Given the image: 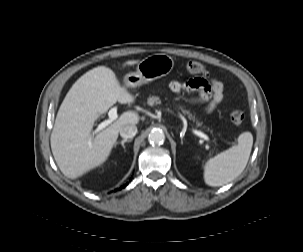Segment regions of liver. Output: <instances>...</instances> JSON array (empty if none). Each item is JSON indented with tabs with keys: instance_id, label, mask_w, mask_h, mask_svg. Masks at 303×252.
<instances>
[{
	"instance_id": "6515ba94",
	"label": "liver",
	"mask_w": 303,
	"mask_h": 252,
	"mask_svg": "<svg viewBox=\"0 0 303 252\" xmlns=\"http://www.w3.org/2000/svg\"><path fill=\"white\" fill-rule=\"evenodd\" d=\"M136 63L129 60L125 65ZM117 101L133 103L134 97L105 66L89 70L72 85L58 110L50 138L54 159L66 177L76 179L105 162L119 129L138 124L139 115L127 111L106 129L92 133L94 122Z\"/></svg>"
}]
</instances>
